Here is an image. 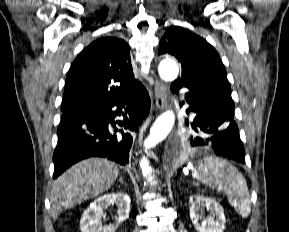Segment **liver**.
Returning <instances> with one entry per match:
<instances>
[{"label": "liver", "instance_id": "1", "mask_svg": "<svg viewBox=\"0 0 289 232\" xmlns=\"http://www.w3.org/2000/svg\"><path fill=\"white\" fill-rule=\"evenodd\" d=\"M119 174L118 165L104 158H89L73 165L59 176L51 190V215H59L109 190Z\"/></svg>", "mask_w": 289, "mask_h": 232}]
</instances>
